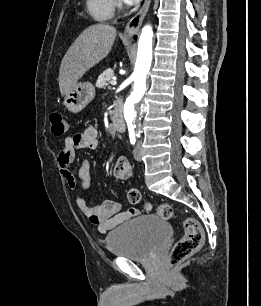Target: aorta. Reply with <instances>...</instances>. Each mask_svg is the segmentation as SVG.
Listing matches in <instances>:
<instances>
[{
	"label": "aorta",
	"mask_w": 261,
	"mask_h": 306,
	"mask_svg": "<svg viewBox=\"0 0 261 306\" xmlns=\"http://www.w3.org/2000/svg\"><path fill=\"white\" fill-rule=\"evenodd\" d=\"M152 37V27L145 26L138 41L137 59L133 73L134 89L124 105V118L129 124L137 122L139 105L146 90V77L152 61Z\"/></svg>",
	"instance_id": "1"
}]
</instances>
